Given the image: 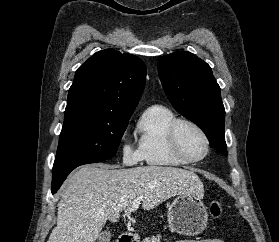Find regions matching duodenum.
Masks as SVG:
<instances>
[{
  "mask_svg": "<svg viewBox=\"0 0 279 242\" xmlns=\"http://www.w3.org/2000/svg\"><path fill=\"white\" fill-rule=\"evenodd\" d=\"M118 242H134V239L130 234L124 233L119 236Z\"/></svg>",
  "mask_w": 279,
  "mask_h": 242,
  "instance_id": "410a0bca",
  "label": "duodenum"
}]
</instances>
